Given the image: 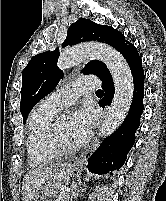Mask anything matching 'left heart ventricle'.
<instances>
[{
	"label": "left heart ventricle",
	"mask_w": 166,
	"mask_h": 201,
	"mask_svg": "<svg viewBox=\"0 0 166 201\" xmlns=\"http://www.w3.org/2000/svg\"><path fill=\"white\" fill-rule=\"evenodd\" d=\"M56 128L61 143L67 147H75V143L68 131V121L64 118L56 120Z\"/></svg>",
	"instance_id": "b2bd125f"
}]
</instances>
